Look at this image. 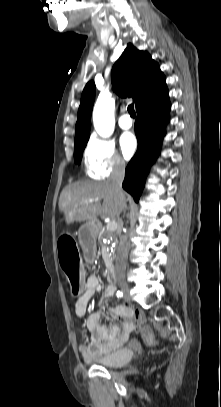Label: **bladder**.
Masks as SVG:
<instances>
[{"mask_svg": "<svg viewBox=\"0 0 221 407\" xmlns=\"http://www.w3.org/2000/svg\"><path fill=\"white\" fill-rule=\"evenodd\" d=\"M135 356V349L132 346L120 347L107 354L94 356L88 361L92 364L106 368H120L129 364Z\"/></svg>", "mask_w": 221, "mask_h": 407, "instance_id": "obj_1", "label": "bladder"}]
</instances>
